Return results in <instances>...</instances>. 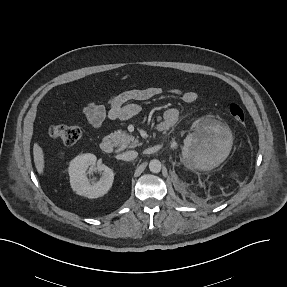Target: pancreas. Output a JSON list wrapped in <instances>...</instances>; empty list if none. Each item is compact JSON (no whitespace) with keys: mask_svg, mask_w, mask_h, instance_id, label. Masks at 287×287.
I'll return each instance as SVG.
<instances>
[{"mask_svg":"<svg viewBox=\"0 0 287 287\" xmlns=\"http://www.w3.org/2000/svg\"><path fill=\"white\" fill-rule=\"evenodd\" d=\"M111 138L114 140L115 145L119 150H124L126 148H135L139 146V141L134 136L126 133L125 131H115L111 134Z\"/></svg>","mask_w":287,"mask_h":287,"instance_id":"1","label":"pancreas"}]
</instances>
